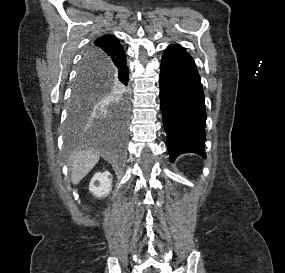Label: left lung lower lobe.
I'll return each mask as SVG.
<instances>
[{
	"mask_svg": "<svg viewBox=\"0 0 285 273\" xmlns=\"http://www.w3.org/2000/svg\"><path fill=\"white\" fill-rule=\"evenodd\" d=\"M160 99L171 161L183 153L204 150L206 111L199 73L180 45H170L161 61Z\"/></svg>",
	"mask_w": 285,
	"mask_h": 273,
	"instance_id": "0a47b994",
	"label": "left lung lower lobe"
}]
</instances>
